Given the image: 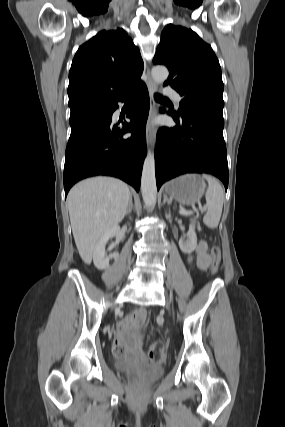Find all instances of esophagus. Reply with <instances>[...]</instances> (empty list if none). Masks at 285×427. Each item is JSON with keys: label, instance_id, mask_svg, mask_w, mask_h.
I'll return each instance as SVG.
<instances>
[{"label": "esophagus", "instance_id": "34e87169", "mask_svg": "<svg viewBox=\"0 0 285 427\" xmlns=\"http://www.w3.org/2000/svg\"><path fill=\"white\" fill-rule=\"evenodd\" d=\"M146 73L148 76L147 88L150 96V109L146 125V141L148 146H152L154 144L156 134L155 128L153 126V120L156 116V103L154 101L153 95L157 91V85L152 80L149 69H147Z\"/></svg>", "mask_w": 285, "mask_h": 427}]
</instances>
